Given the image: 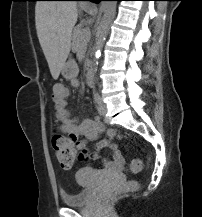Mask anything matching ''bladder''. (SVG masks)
<instances>
[{
  "mask_svg": "<svg viewBox=\"0 0 202 217\" xmlns=\"http://www.w3.org/2000/svg\"><path fill=\"white\" fill-rule=\"evenodd\" d=\"M111 172L105 173L91 168H81L75 174V180L79 186L76 194L63 193L62 202L68 206H82L91 201L97 182L104 177H111Z\"/></svg>",
  "mask_w": 202,
  "mask_h": 217,
  "instance_id": "obj_1",
  "label": "bladder"
}]
</instances>
